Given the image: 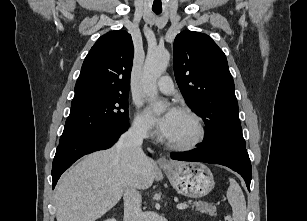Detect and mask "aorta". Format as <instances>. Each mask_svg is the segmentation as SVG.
I'll use <instances>...</instances> for the list:
<instances>
[{"label": "aorta", "mask_w": 307, "mask_h": 221, "mask_svg": "<svg viewBox=\"0 0 307 221\" xmlns=\"http://www.w3.org/2000/svg\"><path fill=\"white\" fill-rule=\"evenodd\" d=\"M169 60L170 53L166 49L150 50L146 56L141 83L145 95L150 100L157 99V80L166 71Z\"/></svg>", "instance_id": "1"}]
</instances>
